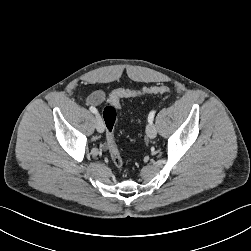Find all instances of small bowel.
Masks as SVG:
<instances>
[{"label":"small bowel","mask_w":251,"mask_h":251,"mask_svg":"<svg viewBox=\"0 0 251 251\" xmlns=\"http://www.w3.org/2000/svg\"><path fill=\"white\" fill-rule=\"evenodd\" d=\"M106 99V95L102 91H94L87 98V103L98 106Z\"/></svg>","instance_id":"small-bowel-1"}]
</instances>
